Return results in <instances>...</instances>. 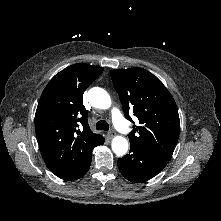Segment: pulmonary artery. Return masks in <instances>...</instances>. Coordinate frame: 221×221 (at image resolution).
<instances>
[{
    "instance_id": "1",
    "label": "pulmonary artery",
    "mask_w": 221,
    "mask_h": 221,
    "mask_svg": "<svg viewBox=\"0 0 221 221\" xmlns=\"http://www.w3.org/2000/svg\"><path fill=\"white\" fill-rule=\"evenodd\" d=\"M111 116L115 127L123 134H128L130 132V128L123 118L122 114L117 108H113L111 110Z\"/></svg>"
}]
</instances>
